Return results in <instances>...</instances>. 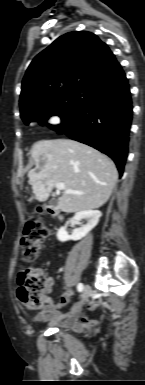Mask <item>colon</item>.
Masks as SVG:
<instances>
[{
  "label": "colon",
  "mask_w": 145,
  "mask_h": 385,
  "mask_svg": "<svg viewBox=\"0 0 145 385\" xmlns=\"http://www.w3.org/2000/svg\"><path fill=\"white\" fill-rule=\"evenodd\" d=\"M47 236V230L38 222H29L20 241L22 259L26 263L36 260L42 241ZM17 296L22 304L29 309H40L48 289L47 278L39 269L30 268L18 275Z\"/></svg>",
  "instance_id": "5ec220e1"
}]
</instances>
